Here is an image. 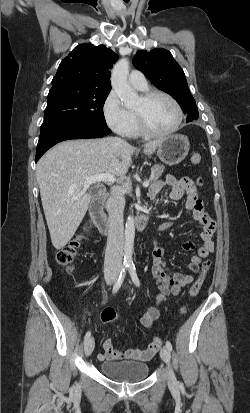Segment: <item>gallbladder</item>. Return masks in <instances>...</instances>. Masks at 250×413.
<instances>
[{
    "label": "gallbladder",
    "mask_w": 250,
    "mask_h": 413,
    "mask_svg": "<svg viewBox=\"0 0 250 413\" xmlns=\"http://www.w3.org/2000/svg\"><path fill=\"white\" fill-rule=\"evenodd\" d=\"M93 193H96V189H93Z\"/></svg>",
    "instance_id": "bac80fb5"
}]
</instances>
